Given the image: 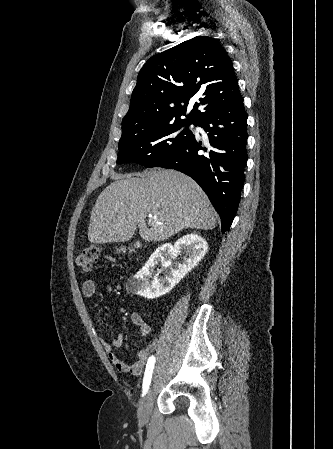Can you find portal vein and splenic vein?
Segmentation results:
<instances>
[{
  "mask_svg": "<svg viewBox=\"0 0 333 449\" xmlns=\"http://www.w3.org/2000/svg\"><path fill=\"white\" fill-rule=\"evenodd\" d=\"M148 216H149V218H153L154 217L152 214H149Z\"/></svg>",
  "mask_w": 333,
  "mask_h": 449,
  "instance_id": "obj_1",
  "label": "portal vein and splenic vein"
}]
</instances>
